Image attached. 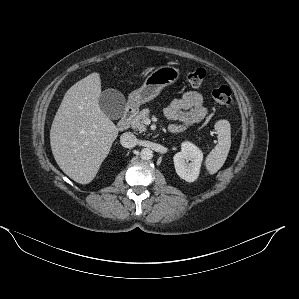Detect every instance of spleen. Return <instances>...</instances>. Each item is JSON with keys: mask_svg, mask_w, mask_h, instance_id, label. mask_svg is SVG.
I'll list each match as a JSON object with an SVG mask.
<instances>
[{"mask_svg": "<svg viewBox=\"0 0 299 299\" xmlns=\"http://www.w3.org/2000/svg\"><path fill=\"white\" fill-rule=\"evenodd\" d=\"M218 144L212 149L205 160V166L209 174H215L225 163L231 146V127L227 120H219L215 123Z\"/></svg>", "mask_w": 299, "mask_h": 299, "instance_id": "obj_1", "label": "spleen"}]
</instances>
